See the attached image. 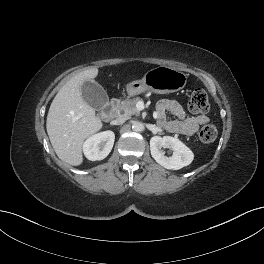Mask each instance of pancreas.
Listing matches in <instances>:
<instances>
[{
	"label": "pancreas",
	"mask_w": 264,
	"mask_h": 264,
	"mask_svg": "<svg viewBox=\"0 0 264 264\" xmlns=\"http://www.w3.org/2000/svg\"><path fill=\"white\" fill-rule=\"evenodd\" d=\"M139 101H142V99L139 97H135L132 99L127 97L125 100L117 104V110L118 112H122L126 117H130L131 115L138 116L140 114V111L136 108V104Z\"/></svg>",
	"instance_id": "pancreas-1"
}]
</instances>
